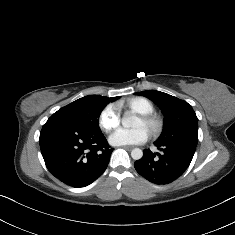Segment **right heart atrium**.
I'll return each mask as SVG.
<instances>
[{
    "mask_svg": "<svg viewBox=\"0 0 235 235\" xmlns=\"http://www.w3.org/2000/svg\"><path fill=\"white\" fill-rule=\"evenodd\" d=\"M98 125L104 132H109L117 128L120 124V113L118 107L114 103L104 106L98 115Z\"/></svg>",
    "mask_w": 235,
    "mask_h": 235,
    "instance_id": "1",
    "label": "right heart atrium"
}]
</instances>
